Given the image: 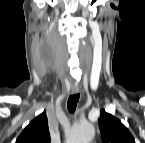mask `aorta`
<instances>
[{"label":"aorta","instance_id":"762f6f07","mask_svg":"<svg viewBox=\"0 0 145 143\" xmlns=\"http://www.w3.org/2000/svg\"><path fill=\"white\" fill-rule=\"evenodd\" d=\"M95 129L92 124L85 123L72 127L67 133L68 143H89L94 137Z\"/></svg>","mask_w":145,"mask_h":143}]
</instances>
